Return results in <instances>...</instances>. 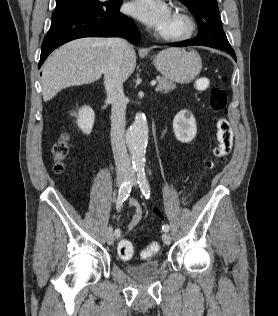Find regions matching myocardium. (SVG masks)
I'll use <instances>...</instances> for the list:
<instances>
[{
    "label": "myocardium",
    "instance_id": "obj_1",
    "mask_svg": "<svg viewBox=\"0 0 278 316\" xmlns=\"http://www.w3.org/2000/svg\"><path fill=\"white\" fill-rule=\"evenodd\" d=\"M171 15L179 22V27L173 31L159 29L156 32L157 37L169 42H179L191 38L196 24L188 11L181 6H175L171 10Z\"/></svg>",
    "mask_w": 278,
    "mask_h": 316
}]
</instances>
